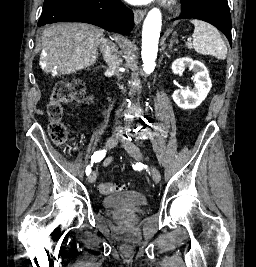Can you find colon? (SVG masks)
Returning a JSON list of instances; mask_svg holds the SVG:
<instances>
[{
	"mask_svg": "<svg viewBox=\"0 0 256 267\" xmlns=\"http://www.w3.org/2000/svg\"><path fill=\"white\" fill-rule=\"evenodd\" d=\"M88 100V95L84 85L73 80L67 84H61L55 87L51 92L50 100L47 104V115L49 119L48 132L50 138L57 144H65L69 140V135L62 118L65 114L64 106L70 103H84ZM70 148V147H69ZM129 186L121 183L102 182L99 185L101 193L110 195L128 190ZM122 223H128L131 218V212L122 214Z\"/></svg>",
	"mask_w": 256,
	"mask_h": 267,
	"instance_id": "obj_1",
	"label": "colon"
}]
</instances>
